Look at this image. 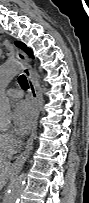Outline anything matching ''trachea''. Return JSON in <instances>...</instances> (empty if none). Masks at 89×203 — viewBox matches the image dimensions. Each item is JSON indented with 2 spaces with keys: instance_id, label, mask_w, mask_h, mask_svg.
Returning a JSON list of instances; mask_svg holds the SVG:
<instances>
[{
  "instance_id": "obj_1",
  "label": "trachea",
  "mask_w": 89,
  "mask_h": 203,
  "mask_svg": "<svg viewBox=\"0 0 89 203\" xmlns=\"http://www.w3.org/2000/svg\"><path fill=\"white\" fill-rule=\"evenodd\" d=\"M19 84H20L22 89H28L29 88V84H28V81H27V78L25 77V75H21L19 77Z\"/></svg>"
}]
</instances>
